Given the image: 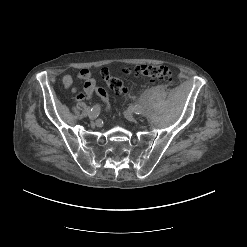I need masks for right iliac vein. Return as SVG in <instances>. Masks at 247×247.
I'll use <instances>...</instances> for the list:
<instances>
[{
    "instance_id": "63e3f726",
    "label": "right iliac vein",
    "mask_w": 247,
    "mask_h": 247,
    "mask_svg": "<svg viewBox=\"0 0 247 247\" xmlns=\"http://www.w3.org/2000/svg\"><path fill=\"white\" fill-rule=\"evenodd\" d=\"M97 114H98V110L96 108H93L91 112L88 113L89 119L91 121L95 120V118L97 117Z\"/></svg>"
}]
</instances>
